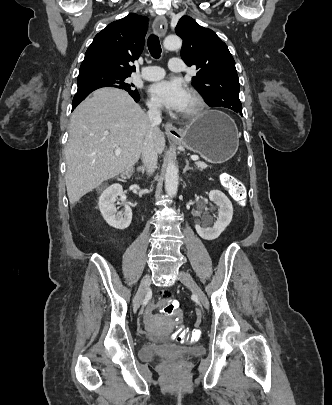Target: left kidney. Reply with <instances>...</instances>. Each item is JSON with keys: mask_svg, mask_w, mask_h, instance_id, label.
<instances>
[{"mask_svg": "<svg viewBox=\"0 0 332 405\" xmlns=\"http://www.w3.org/2000/svg\"><path fill=\"white\" fill-rule=\"evenodd\" d=\"M209 199L219 207L218 218L213 227H206V221H200L195 225V229L201 238L214 240L218 238L230 224L233 216V206L228 197L219 190H212L209 193ZM200 225L205 226V228Z\"/></svg>", "mask_w": 332, "mask_h": 405, "instance_id": "5707ae66", "label": "left kidney"}]
</instances>
